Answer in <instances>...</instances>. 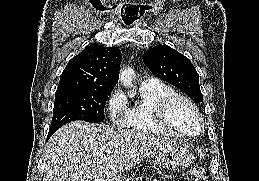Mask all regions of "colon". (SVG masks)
<instances>
[{
  "label": "colon",
  "instance_id": "colon-1",
  "mask_svg": "<svg viewBox=\"0 0 259 181\" xmlns=\"http://www.w3.org/2000/svg\"><path fill=\"white\" fill-rule=\"evenodd\" d=\"M187 181H205V170L202 166H193L187 176Z\"/></svg>",
  "mask_w": 259,
  "mask_h": 181
}]
</instances>
